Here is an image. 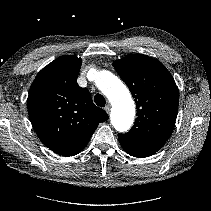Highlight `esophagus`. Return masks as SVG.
Wrapping results in <instances>:
<instances>
[{
    "label": "esophagus",
    "mask_w": 211,
    "mask_h": 211,
    "mask_svg": "<svg viewBox=\"0 0 211 211\" xmlns=\"http://www.w3.org/2000/svg\"><path fill=\"white\" fill-rule=\"evenodd\" d=\"M104 109L107 113H110V106L109 105H107Z\"/></svg>",
    "instance_id": "obj_1"
}]
</instances>
